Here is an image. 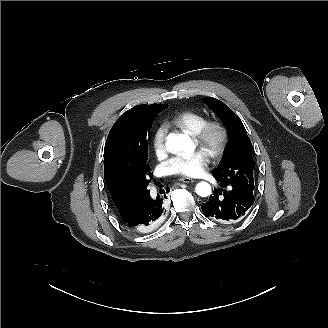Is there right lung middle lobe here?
Segmentation results:
<instances>
[{
    "instance_id": "right-lung-middle-lobe-1",
    "label": "right lung middle lobe",
    "mask_w": 328,
    "mask_h": 328,
    "mask_svg": "<svg viewBox=\"0 0 328 328\" xmlns=\"http://www.w3.org/2000/svg\"><path fill=\"white\" fill-rule=\"evenodd\" d=\"M164 109L156 105L138 106L120 116L109 132L104 169L129 196L144 198L150 193L147 136L155 117Z\"/></svg>"
}]
</instances>
